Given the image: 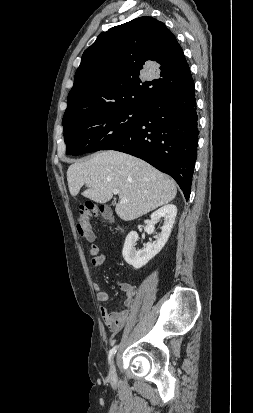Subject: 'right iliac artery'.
Segmentation results:
<instances>
[{"instance_id": "obj_1", "label": "right iliac artery", "mask_w": 253, "mask_h": 413, "mask_svg": "<svg viewBox=\"0 0 253 413\" xmlns=\"http://www.w3.org/2000/svg\"><path fill=\"white\" fill-rule=\"evenodd\" d=\"M116 351H117V345H115V346L109 351V356H108L109 363L111 362V360H112L114 354L116 353Z\"/></svg>"}]
</instances>
